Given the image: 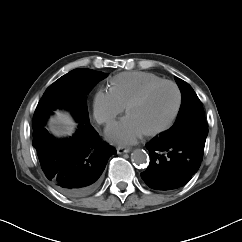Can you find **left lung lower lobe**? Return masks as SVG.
Returning <instances> with one entry per match:
<instances>
[{"label":"left lung lower lobe","instance_id":"1","mask_svg":"<svg viewBox=\"0 0 242 242\" xmlns=\"http://www.w3.org/2000/svg\"><path fill=\"white\" fill-rule=\"evenodd\" d=\"M206 138L187 137L174 139L161 134L147 149L150 165L141 173L144 182L154 190L177 189L198 171Z\"/></svg>","mask_w":242,"mask_h":242}]
</instances>
